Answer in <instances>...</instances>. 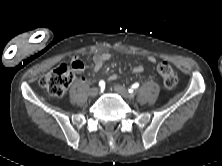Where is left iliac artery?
<instances>
[{
  "label": "left iliac artery",
  "instance_id": "obj_1",
  "mask_svg": "<svg viewBox=\"0 0 222 166\" xmlns=\"http://www.w3.org/2000/svg\"><path fill=\"white\" fill-rule=\"evenodd\" d=\"M139 87V83H134L131 88H129V93H132L134 89H137Z\"/></svg>",
  "mask_w": 222,
  "mask_h": 166
}]
</instances>
